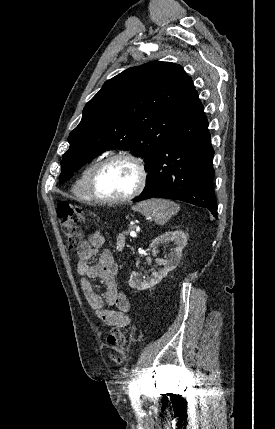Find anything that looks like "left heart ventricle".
<instances>
[{"label": "left heart ventricle", "instance_id": "1", "mask_svg": "<svg viewBox=\"0 0 275 429\" xmlns=\"http://www.w3.org/2000/svg\"><path fill=\"white\" fill-rule=\"evenodd\" d=\"M138 173L129 161L116 160L105 166L96 180V191L103 198H119L136 186Z\"/></svg>", "mask_w": 275, "mask_h": 429}]
</instances>
